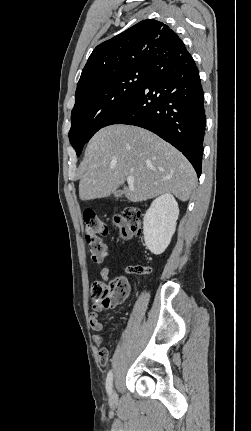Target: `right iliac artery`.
<instances>
[{
  "mask_svg": "<svg viewBox=\"0 0 251 431\" xmlns=\"http://www.w3.org/2000/svg\"><path fill=\"white\" fill-rule=\"evenodd\" d=\"M112 385H113V373L112 371H109L106 378V390L108 394H111L112 392Z\"/></svg>",
  "mask_w": 251,
  "mask_h": 431,
  "instance_id": "82829eb1",
  "label": "right iliac artery"
}]
</instances>
